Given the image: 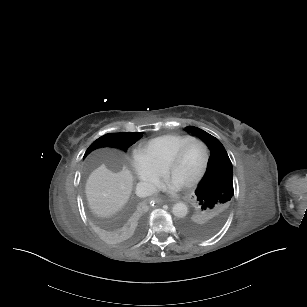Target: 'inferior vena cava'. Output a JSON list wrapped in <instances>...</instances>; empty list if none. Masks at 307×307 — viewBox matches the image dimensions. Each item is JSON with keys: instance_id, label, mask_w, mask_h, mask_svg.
Listing matches in <instances>:
<instances>
[{"instance_id": "602c4592", "label": "inferior vena cava", "mask_w": 307, "mask_h": 307, "mask_svg": "<svg viewBox=\"0 0 307 307\" xmlns=\"http://www.w3.org/2000/svg\"><path fill=\"white\" fill-rule=\"evenodd\" d=\"M156 191V187L150 183L140 182L136 185V195L139 197L152 196Z\"/></svg>"}]
</instances>
